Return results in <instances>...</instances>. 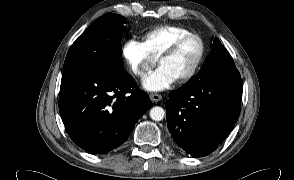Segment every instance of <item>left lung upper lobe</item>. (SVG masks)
Returning <instances> with one entry per match:
<instances>
[{
    "label": "left lung upper lobe",
    "instance_id": "1",
    "mask_svg": "<svg viewBox=\"0 0 294 180\" xmlns=\"http://www.w3.org/2000/svg\"><path fill=\"white\" fill-rule=\"evenodd\" d=\"M213 53L204 61L201 70L185 86L204 85L212 80L240 79L232 57L218 38L212 45Z\"/></svg>",
    "mask_w": 294,
    "mask_h": 180
}]
</instances>
